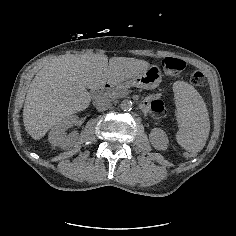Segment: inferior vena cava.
Returning <instances> with one entry per match:
<instances>
[{"mask_svg": "<svg viewBox=\"0 0 236 236\" xmlns=\"http://www.w3.org/2000/svg\"><path fill=\"white\" fill-rule=\"evenodd\" d=\"M110 107H111V103L107 102V101L98 102L97 105H96V109L99 112L106 111Z\"/></svg>", "mask_w": 236, "mask_h": 236, "instance_id": "1", "label": "inferior vena cava"}]
</instances>
